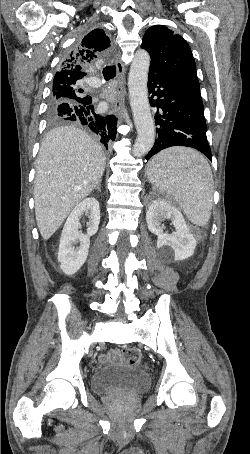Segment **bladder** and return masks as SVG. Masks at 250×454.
Wrapping results in <instances>:
<instances>
[{
  "instance_id": "1",
  "label": "bladder",
  "mask_w": 250,
  "mask_h": 454,
  "mask_svg": "<svg viewBox=\"0 0 250 454\" xmlns=\"http://www.w3.org/2000/svg\"><path fill=\"white\" fill-rule=\"evenodd\" d=\"M90 386L98 395L142 394L150 387V377L146 370L117 363L93 372Z\"/></svg>"
}]
</instances>
